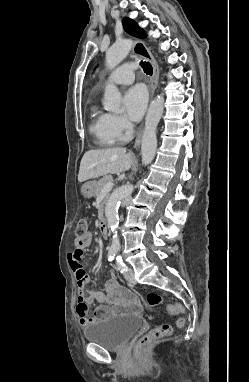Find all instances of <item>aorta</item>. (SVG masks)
<instances>
[{
	"mask_svg": "<svg viewBox=\"0 0 249 382\" xmlns=\"http://www.w3.org/2000/svg\"><path fill=\"white\" fill-rule=\"evenodd\" d=\"M132 47V41L129 39L115 42L106 51V66L109 69L115 68L128 55ZM121 104V93L115 85L108 84L105 88L103 105L107 111H119ZM164 110V97L158 95L150 104L146 118L145 130L141 141L142 164H150L156 154L157 137L156 130ZM133 185L128 184L117 189L110 197L105 207V216L108 227L113 233L110 249L114 253L120 251V240L117 234L119 225L118 209L122 199L132 194Z\"/></svg>",
	"mask_w": 249,
	"mask_h": 382,
	"instance_id": "obj_1",
	"label": "aorta"
}]
</instances>
